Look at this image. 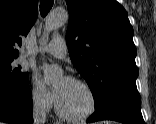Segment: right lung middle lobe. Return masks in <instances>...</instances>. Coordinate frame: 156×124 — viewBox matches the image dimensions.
<instances>
[{
  "instance_id": "right-lung-middle-lobe-1",
  "label": "right lung middle lobe",
  "mask_w": 156,
  "mask_h": 124,
  "mask_svg": "<svg viewBox=\"0 0 156 124\" xmlns=\"http://www.w3.org/2000/svg\"><path fill=\"white\" fill-rule=\"evenodd\" d=\"M12 61L13 60H0V79L15 85L28 83V73L21 72V67L13 69L11 67Z\"/></svg>"
}]
</instances>
